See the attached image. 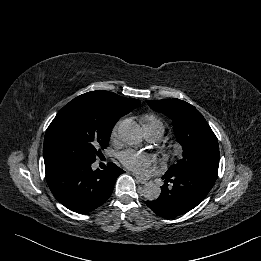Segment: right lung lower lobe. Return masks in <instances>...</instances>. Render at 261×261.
Returning <instances> with one entry per match:
<instances>
[{
	"label": "right lung lower lobe",
	"mask_w": 261,
	"mask_h": 261,
	"mask_svg": "<svg viewBox=\"0 0 261 261\" xmlns=\"http://www.w3.org/2000/svg\"><path fill=\"white\" fill-rule=\"evenodd\" d=\"M95 161H73L45 166L46 180L55 198L66 208L87 214L110 197L115 181L124 171L113 163L93 170Z\"/></svg>",
	"instance_id": "98d812e1"
}]
</instances>
